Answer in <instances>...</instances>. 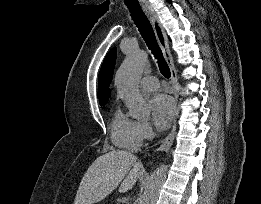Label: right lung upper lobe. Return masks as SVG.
I'll use <instances>...</instances> for the list:
<instances>
[{"mask_svg":"<svg viewBox=\"0 0 261 204\" xmlns=\"http://www.w3.org/2000/svg\"><path fill=\"white\" fill-rule=\"evenodd\" d=\"M116 48L110 50L102 64L99 73V88H98V99L99 102H107L110 96L109 85L112 81L114 66L116 62Z\"/></svg>","mask_w":261,"mask_h":204,"instance_id":"right-lung-upper-lobe-1","label":"right lung upper lobe"}]
</instances>
